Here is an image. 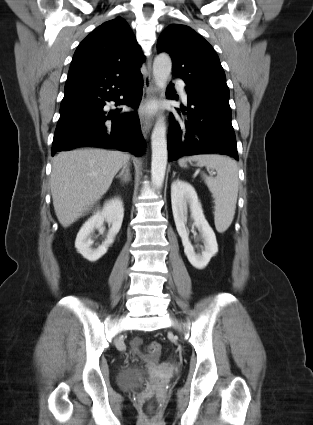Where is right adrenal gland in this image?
<instances>
[{
    "mask_svg": "<svg viewBox=\"0 0 313 425\" xmlns=\"http://www.w3.org/2000/svg\"><path fill=\"white\" fill-rule=\"evenodd\" d=\"M122 182V184H126L131 180L130 170L129 168H123V170L116 176Z\"/></svg>",
    "mask_w": 313,
    "mask_h": 425,
    "instance_id": "2a0ac1e0",
    "label": "right adrenal gland"
}]
</instances>
